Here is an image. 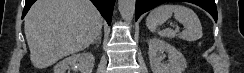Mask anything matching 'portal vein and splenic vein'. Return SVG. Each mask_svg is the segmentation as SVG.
Segmentation results:
<instances>
[{
    "label": "portal vein and splenic vein",
    "mask_w": 244,
    "mask_h": 73,
    "mask_svg": "<svg viewBox=\"0 0 244 73\" xmlns=\"http://www.w3.org/2000/svg\"><path fill=\"white\" fill-rule=\"evenodd\" d=\"M178 31H179V27H176V28H175V32H178Z\"/></svg>",
    "instance_id": "portal-vein-and-splenic-vein-1"
}]
</instances>
